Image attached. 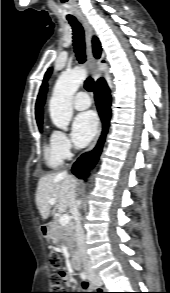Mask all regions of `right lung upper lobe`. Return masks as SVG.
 <instances>
[{
  "instance_id": "right-lung-upper-lobe-1",
  "label": "right lung upper lobe",
  "mask_w": 170,
  "mask_h": 293,
  "mask_svg": "<svg viewBox=\"0 0 170 293\" xmlns=\"http://www.w3.org/2000/svg\"><path fill=\"white\" fill-rule=\"evenodd\" d=\"M93 50H94L95 57L99 58L101 47L97 38L93 39ZM45 94H46V87L40 92L36 102V120L38 125H42V106L44 105Z\"/></svg>"
}]
</instances>
